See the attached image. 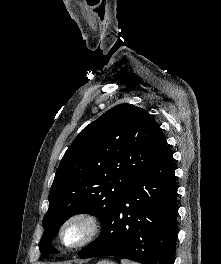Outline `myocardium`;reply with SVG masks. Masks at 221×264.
I'll return each mask as SVG.
<instances>
[{"label":"myocardium","mask_w":221,"mask_h":264,"mask_svg":"<svg viewBox=\"0 0 221 264\" xmlns=\"http://www.w3.org/2000/svg\"><path fill=\"white\" fill-rule=\"evenodd\" d=\"M77 222L82 223L85 226L86 228L85 235L78 242L73 244H68L64 241L63 238L64 231L69 225ZM101 229H102V221L97 214L91 211L79 210L71 213L69 216L65 218V220L62 222L59 228L58 237L61 244L64 247L68 249H78L86 246L87 244L95 240L100 234Z\"/></svg>","instance_id":"f54148a6"}]
</instances>
